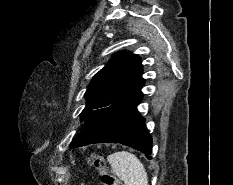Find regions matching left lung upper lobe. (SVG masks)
Here are the masks:
<instances>
[{
	"label": "left lung upper lobe",
	"instance_id": "1",
	"mask_svg": "<svg viewBox=\"0 0 233 185\" xmlns=\"http://www.w3.org/2000/svg\"><path fill=\"white\" fill-rule=\"evenodd\" d=\"M141 74L142 65L137 55L129 52L115 54L94 76L85 93L87 104L81 120L86 121V129L92 127L119 96L143 80Z\"/></svg>",
	"mask_w": 233,
	"mask_h": 185
}]
</instances>
